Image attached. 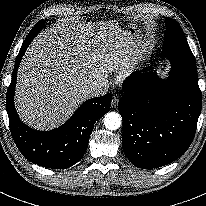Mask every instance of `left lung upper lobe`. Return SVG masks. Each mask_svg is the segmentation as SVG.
<instances>
[{
	"label": "left lung upper lobe",
	"instance_id": "left-lung-upper-lobe-1",
	"mask_svg": "<svg viewBox=\"0 0 206 206\" xmlns=\"http://www.w3.org/2000/svg\"><path fill=\"white\" fill-rule=\"evenodd\" d=\"M167 30L164 38V56H169L174 65L196 69L195 58L179 23L166 19Z\"/></svg>",
	"mask_w": 206,
	"mask_h": 206
}]
</instances>
